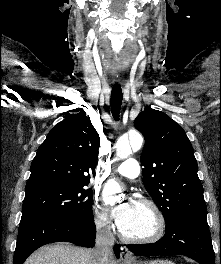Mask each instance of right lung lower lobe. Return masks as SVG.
Masks as SVG:
<instances>
[{"instance_id":"1","label":"right lung lower lobe","mask_w":221,"mask_h":264,"mask_svg":"<svg viewBox=\"0 0 221 264\" xmlns=\"http://www.w3.org/2000/svg\"><path fill=\"white\" fill-rule=\"evenodd\" d=\"M96 226L93 216L84 220H40L20 222L14 264H23L37 248L54 242L66 241L83 247L95 245ZM117 258L120 245L114 246Z\"/></svg>"}]
</instances>
